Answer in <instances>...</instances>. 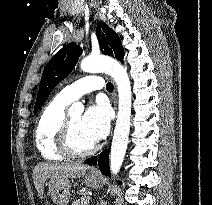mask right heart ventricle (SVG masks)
Wrapping results in <instances>:
<instances>
[{"label": "right heart ventricle", "instance_id": "e07e8e85", "mask_svg": "<svg viewBox=\"0 0 212 205\" xmlns=\"http://www.w3.org/2000/svg\"><path fill=\"white\" fill-rule=\"evenodd\" d=\"M67 102L54 97L41 111L35 126V144L43 158L61 161L66 156L59 150L57 136L65 118Z\"/></svg>", "mask_w": 212, "mask_h": 205}]
</instances>
